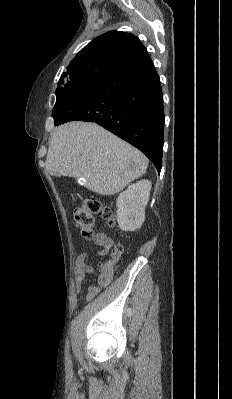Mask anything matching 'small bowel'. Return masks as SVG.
Masks as SVG:
<instances>
[{"mask_svg": "<svg viewBox=\"0 0 232 399\" xmlns=\"http://www.w3.org/2000/svg\"><path fill=\"white\" fill-rule=\"evenodd\" d=\"M110 248V243L105 242L99 244V248L96 251L97 255H104ZM89 254L87 252H81L78 256L77 264L74 268V286L77 291L80 290L82 283L87 275L93 273V268L87 264ZM93 295V287H88L86 290V296L91 297Z\"/></svg>", "mask_w": 232, "mask_h": 399, "instance_id": "c3829d8e", "label": "small bowel"}]
</instances>
